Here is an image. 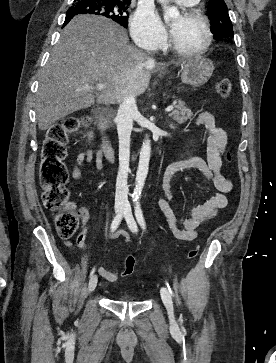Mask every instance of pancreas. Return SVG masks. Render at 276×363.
Masks as SVG:
<instances>
[{
	"label": "pancreas",
	"instance_id": "obj_1",
	"mask_svg": "<svg viewBox=\"0 0 276 363\" xmlns=\"http://www.w3.org/2000/svg\"><path fill=\"white\" fill-rule=\"evenodd\" d=\"M174 105L175 109L170 113V116L178 123H184L192 118L193 113L183 101H178Z\"/></svg>",
	"mask_w": 276,
	"mask_h": 363
}]
</instances>
